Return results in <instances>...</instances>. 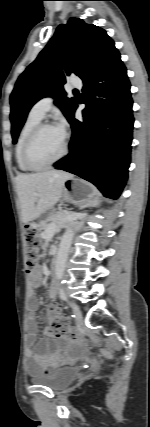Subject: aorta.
Listing matches in <instances>:
<instances>
[{
  "mask_svg": "<svg viewBox=\"0 0 150 427\" xmlns=\"http://www.w3.org/2000/svg\"><path fill=\"white\" fill-rule=\"evenodd\" d=\"M74 235L73 225L69 226L68 229L65 231L61 238V242L59 245L57 257H56V264H55V277L59 280L63 278L64 270L66 267L70 247L72 244Z\"/></svg>",
  "mask_w": 150,
  "mask_h": 427,
  "instance_id": "obj_1",
  "label": "aorta"
}]
</instances>
